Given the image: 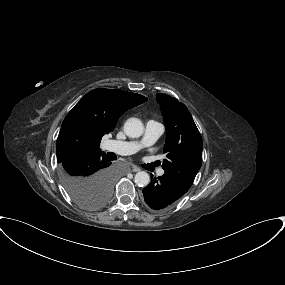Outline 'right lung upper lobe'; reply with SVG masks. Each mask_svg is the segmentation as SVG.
Instances as JSON below:
<instances>
[{"instance_id":"cb5924a9","label":"right lung upper lobe","mask_w":285,"mask_h":285,"mask_svg":"<svg viewBox=\"0 0 285 285\" xmlns=\"http://www.w3.org/2000/svg\"><path fill=\"white\" fill-rule=\"evenodd\" d=\"M147 98L118 89L97 88L87 93L67 114L57 139V162L100 151L104 135L112 132L119 117Z\"/></svg>"}]
</instances>
